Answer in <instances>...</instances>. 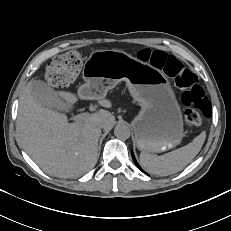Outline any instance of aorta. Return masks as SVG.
Returning <instances> with one entry per match:
<instances>
[{
  "label": "aorta",
  "instance_id": "obj_1",
  "mask_svg": "<svg viewBox=\"0 0 231 231\" xmlns=\"http://www.w3.org/2000/svg\"><path fill=\"white\" fill-rule=\"evenodd\" d=\"M114 134L121 140H126L130 137V129L127 125L118 124L114 129Z\"/></svg>",
  "mask_w": 231,
  "mask_h": 231
}]
</instances>
